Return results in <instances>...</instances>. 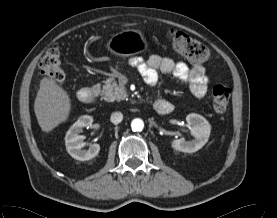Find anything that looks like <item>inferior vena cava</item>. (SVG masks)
<instances>
[{"mask_svg":"<svg viewBox=\"0 0 277 218\" xmlns=\"http://www.w3.org/2000/svg\"><path fill=\"white\" fill-rule=\"evenodd\" d=\"M110 120L114 124H118L123 120V114L121 112H113L111 114Z\"/></svg>","mask_w":277,"mask_h":218,"instance_id":"inferior-vena-cava-1","label":"inferior vena cava"}]
</instances>
